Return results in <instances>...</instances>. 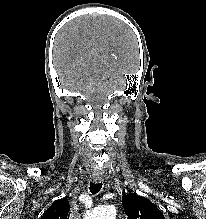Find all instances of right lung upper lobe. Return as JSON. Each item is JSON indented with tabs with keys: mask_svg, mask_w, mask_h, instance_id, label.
<instances>
[{
	"mask_svg": "<svg viewBox=\"0 0 206 219\" xmlns=\"http://www.w3.org/2000/svg\"><path fill=\"white\" fill-rule=\"evenodd\" d=\"M69 211V202L66 198H63L54 201L40 219H67Z\"/></svg>",
	"mask_w": 206,
	"mask_h": 219,
	"instance_id": "obj_1",
	"label": "right lung upper lobe"
}]
</instances>
